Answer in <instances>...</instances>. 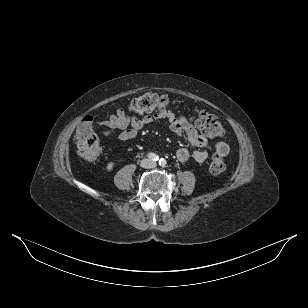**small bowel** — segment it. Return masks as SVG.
Instances as JSON below:
<instances>
[{"label":"small bowel","mask_w":308,"mask_h":308,"mask_svg":"<svg viewBox=\"0 0 308 308\" xmlns=\"http://www.w3.org/2000/svg\"><path fill=\"white\" fill-rule=\"evenodd\" d=\"M160 122L168 124L170 130L176 135H185L194 148L192 153L187 148H179L176 152L179 161L185 162L190 157L198 163L206 161L208 153L204 148L208 145L207 137L198 132L195 126L184 116H177L173 112L147 113L140 117L127 115L122 109L118 108L115 114L102 121V125L119 131V140L128 141L134 139L145 126ZM214 149L217 154L224 157L229 152V146L222 141L216 142Z\"/></svg>","instance_id":"1"}]
</instances>
